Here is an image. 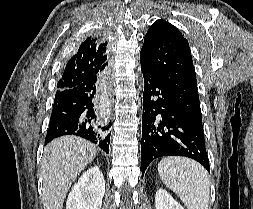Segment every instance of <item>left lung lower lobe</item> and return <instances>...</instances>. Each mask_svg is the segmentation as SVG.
I'll return each mask as SVG.
<instances>
[{"label":"left lung lower lobe","mask_w":253,"mask_h":209,"mask_svg":"<svg viewBox=\"0 0 253 209\" xmlns=\"http://www.w3.org/2000/svg\"><path fill=\"white\" fill-rule=\"evenodd\" d=\"M144 75L141 138L142 175L161 156H185L201 163L210 172L203 127L187 117L169 88L141 66Z\"/></svg>","instance_id":"1"}]
</instances>
